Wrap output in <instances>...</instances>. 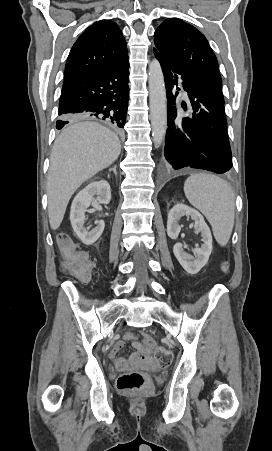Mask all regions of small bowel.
Returning <instances> with one entry per match:
<instances>
[{
	"mask_svg": "<svg viewBox=\"0 0 272 451\" xmlns=\"http://www.w3.org/2000/svg\"><path fill=\"white\" fill-rule=\"evenodd\" d=\"M149 337H150L149 335H145L144 338L140 341L137 334L132 333V332H126L124 334V341H117L112 345V347L109 351V356H110L111 352H120L116 348L117 345L120 343L123 344L124 347H126V342H130L134 348H143Z\"/></svg>",
	"mask_w": 272,
	"mask_h": 451,
	"instance_id": "small-bowel-1",
	"label": "small bowel"
}]
</instances>
